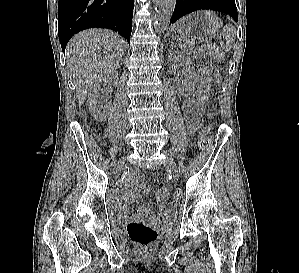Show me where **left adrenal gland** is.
Returning a JSON list of instances; mask_svg holds the SVG:
<instances>
[{
  "label": "left adrenal gland",
  "mask_w": 299,
  "mask_h": 273,
  "mask_svg": "<svg viewBox=\"0 0 299 273\" xmlns=\"http://www.w3.org/2000/svg\"><path fill=\"white\" fill-rule=\"evenodd\" d=\"M176 37L173 38V40H175ZM172 47H175V43L172 42Z\"/></svg>",
  "instance_id": "a2214340"
}]
</instances>
